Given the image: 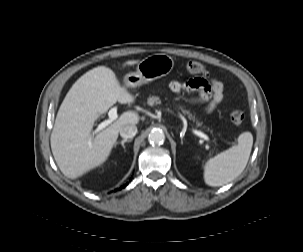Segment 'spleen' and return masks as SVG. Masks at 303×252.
Returning a JSON list of instances; mask_svg holds the SVG:
<instances>
[{
  "instance_id": "obj_1",
  "label": "spleen",
  "mask_w": 303,
  "mask_h": 252,
  "mask_svg": "<svg viewBox=\"0 0 303 252\" xmlns=\"http://www.w3.org/2000/svg\"><path fill=\"white\" fill-rule=\"evenodd\" d=\"M237 141L236 145L207 160L204 165V181L207 185L223 186L243 172L253 146V136L250 132H243Z\"/></svg>"
}]
</instances>
